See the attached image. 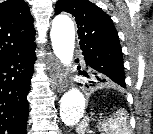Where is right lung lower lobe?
Returning <instances> with one entry per match:
<instances>
[{
  "mask_svg": "<svg viewBox=\"0 0 153 134\" xmlns=\"http://www.w3.org/2000/svg\"><path fill=\"white\" fill-rule=\"evenodd\" d=\"M35 48L0 60V134H26Z\"/></svg>",
  "mask_w": 153,
  "mask_h": 134,
  "instance_id": "right-lung-lower-lobe-1",
  "label": "right lung lower lobe"
}]
</instances>
